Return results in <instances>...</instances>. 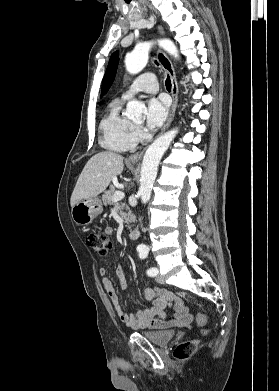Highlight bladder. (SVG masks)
I'll return each mask as SVG.
<instances>
[{
    "instance_id": "1",
    "label": "bladder",
    "mask_w": 279,
    "mask_h": 391,
    "mask_svg": "<svg viewBox=\"0 0 279 391\" xmlns=\"http://www.w3.org/2000/svg\"><path fill=\"white\" fill-rule=\"evenodd\" d=\"M143 335L155 345L166 346L175 339L177 332L173 330L148 331Z\"/></svg>"
}]
</instances>
